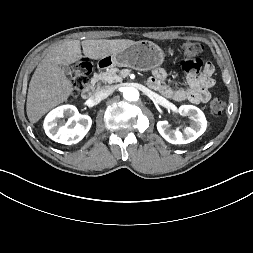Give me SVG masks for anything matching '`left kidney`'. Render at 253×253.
I'll return each instance as SVG.
<instances>
[{"instance_id":"obj_1","label":"left kidney","mask_w":253,"mask_h":253,"mask_svg":"<svg viewBox=\"0 0 253 253\" xmlns=\"http://www.w3.org/2000/svg\"><path fill=\"white\" fill-rule=\"evenodd\" d=\"M179 113L188 116L191 119L190 127H186L182 132L171 130L167 121H158L157 130L160 135L172 144H187L201 136L207 127V121L204 113L193 105H182L179 107Z\"/></svg>"}]
</instances>
